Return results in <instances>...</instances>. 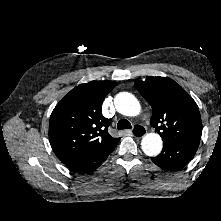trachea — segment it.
Wrapping results in <instances>:
<instances>
[{
    "instance_id": "trachea-1",
    "label": "trachea",
    "mask_w": 221,
    "mask_h": 221,
    "mask_svg": "<svg viewBox=\"0 0 221 221\" xmlns=\"http://www.w3.org/2000/svg\"><path fill=\"white\" fill-rule=\"evenodd\" d=\"M131 128H132V126H131L130 122L126 119H121L117 124L118 130L131 129Z\"/></svg>"
}]
</instances>
